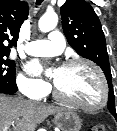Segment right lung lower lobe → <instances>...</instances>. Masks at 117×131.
Masks as SVG:
<instances>
[{"instance_id":"obj_1","label":"right lung lower lobe","mask_w":117,"mask_h":131,"mask_svg":"<svg viewBox=\"0 0 117 131\" xmlns=\"http://www.w3.org/2000/svg\"><path fill=\"white\" fill-rule=\"evenodd\" d=\"M0 93H5V94H13L12 92L5 91L3 89H0Z\"/></svg>"}]
</instances>
